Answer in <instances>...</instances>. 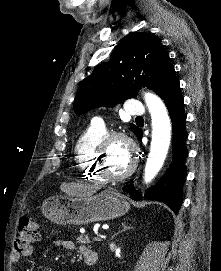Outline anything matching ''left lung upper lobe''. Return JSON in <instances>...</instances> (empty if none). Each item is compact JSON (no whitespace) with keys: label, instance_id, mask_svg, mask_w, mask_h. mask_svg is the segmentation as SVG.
<instances>
[{"label":"left lung upper lobe","instance_id":"5c2ea615","mask_svg":"<svg viewBox=\"0 0 221 271\" xmlns=\"http://www.w3.org/2000/svg\"><path fill=\"white\" fill-rule=\"evenodd\" d=\"M177 81L161 41L146 33H133L118 44L108 62L98 65L80 83L74 111L82 114L98 106L113 107L145 86L162 97ZM131 130L137 135L141 129L131 124Z\"/></svg>","mask_w":221,"mask_h":271}]
</instances>
